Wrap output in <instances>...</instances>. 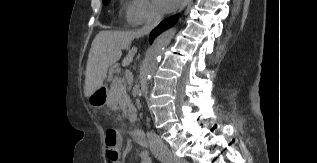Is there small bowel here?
Wrapping results in <instances>:
<instances>
[{"label": "small bowel", "instance_id": "1", "mask_svg": "<svg viewBox=\"0 0 317 163\" xmlns=\"http://www.w3.org/2000/svg\"><path fill=\"white\" fill-rule=\"evenodd\" d=\"M139 160L140 163H152L150 155L145 151L140 153Z\"/></svg>", "mask_w": 317, "mask_h": 163}]
</instances>
